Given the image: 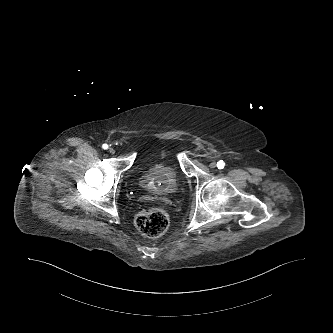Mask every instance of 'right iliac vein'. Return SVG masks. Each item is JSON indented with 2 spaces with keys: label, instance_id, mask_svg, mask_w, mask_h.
I'll return each instance as SVG.
<instances>
[{
  "label": "right iliac vein",
  "instance_id": "right-iliac-vein-1",
  "mask_svg": "<svg viewBox=\"0 0 333 333\" xmlns=\"http://www.w3.org/2000/svg\"><path fill=\"white\" fill-rule=\"evenodd\" d=\"M109 152H110L111 154H114V153H115V149H114V148H109Z\"/></svg>",
  "mask_w": 333,
  "mask_h": 333
}]
</instances>
